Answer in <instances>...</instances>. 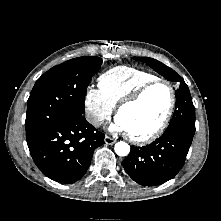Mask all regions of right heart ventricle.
Returning a JSON list of instances; mask_svg holds the SVG:
<instances>
[{
	"mask_svg": "<svg viewBox=\"0 0 221 221\" xmlns=\"http://www.w3.org/2000/svg\"><path fill=\"white\" fill-rule=\"evenodd\" d=\"M157 77L149 72L130 66H117L98 78V87L107 103L117 104L144 83Z\"/></svg>",
	"mask_w": 221,
	"mask_h": 221,
	"instance_id": "right-heart-ventricle-1",
	"label": "right heart ventricle"
}]
</instances>
